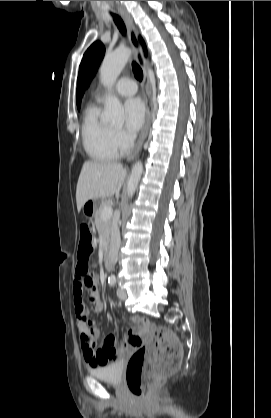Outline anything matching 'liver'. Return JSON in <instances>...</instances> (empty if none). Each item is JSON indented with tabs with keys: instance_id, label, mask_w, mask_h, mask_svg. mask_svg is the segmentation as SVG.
Returning <instances> with one entry per match:
<instances>
[{
	"instance_id": "liver-1",
	"label": "liver",
	"mask_w": 271,
	"mask_h": 418,
	"mask_svg": "<svg viewBox=\"0 0 271 418\" xmlns=\"http://www.w3.org/2000/svg\"><path fill=\"white\" fill-rule=\"evenodd\" d=\"M126 177V170L117 162H84L76 189L78 212L91 199L117 196Z\"/></svg>"
}]
</instances>
